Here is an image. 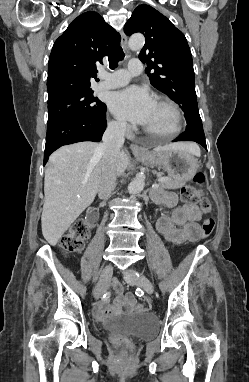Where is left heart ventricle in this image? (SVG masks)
Here are the masks:
<instances>
[{
  "instance_id": "obj_1",
  "label": "left heart ventricle",
  "mask_w": 249,
  "mask_h": 382,
  "mask_svg": "<svg viewBox=\"0 0 249 382\" xmlns=\"http://www.w3.org/2000/svg\"><path fill=\"white\" fill-rule=\"evenodd\" d=\"M173 124L174 119L170 109L156 102L149 119L143 127L153 133L164 134L172 130Z\"/></svg>"
}]
</instances>
